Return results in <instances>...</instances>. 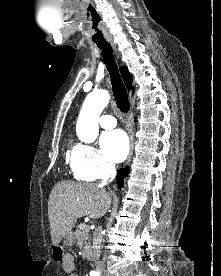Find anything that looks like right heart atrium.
Segmentation results:
<instances>
[{
	"instance_id": "right-heart-atrium-1",
	"label": "right heart atrium",
	"mask_w": 221,
	"mask_h": 276,
	"mask_svg": "<svg viewBox=\"0 0 221 276\" xmlns=\"http://www.w3.org/2000/svg\"><path fill=\"white\" fill-rule=\"evenodd\" d=\"M70 162L73 173L81 180L92 181L114 172V166L91 144H76Z\"/></svg>"
}]
</instances>
